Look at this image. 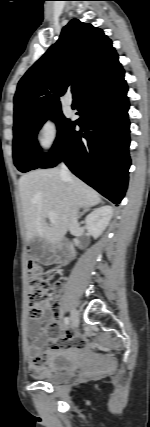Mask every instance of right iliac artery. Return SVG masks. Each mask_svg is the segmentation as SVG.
Wrapping results in <instances>:
<instances>
[{"label": "right iliac artery", "mask_w": 150, "mask_h": 427, "mask_svg": "<svg viewBox=\"0 0 150 427\" xmlns=\"http://www.w3.org/2000/svg\"><path fill=\"white\" fill-rule=\"evenodd\" d=\"M64 323H65L66 325H68V324L70 323V318H69V317H65V318H64Z\"/></svg>", "instance_id": "82829eb1"}]
</instances>
